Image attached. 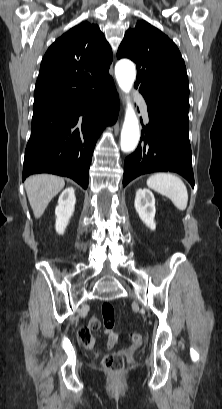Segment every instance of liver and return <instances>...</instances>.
Here are the masks:
<instances>
[{
    "instance_id": "6515ba94",
    "label": "liver",
    "mask_w": 222,
    "mask_h": 409,
    "mask_svg": "<svg viewBox=\"0 0 222 409\" xmlns=\"http://www.w3.org/2000/svg\"><path fill=\"white\" fill-rule=\"evenodd\" d=\"M24 186L34 216L40 218L50 201L63 189L65 181L55 175L38 174L28 177Z\"/></svg>"
}]
</instances>
